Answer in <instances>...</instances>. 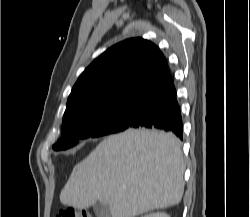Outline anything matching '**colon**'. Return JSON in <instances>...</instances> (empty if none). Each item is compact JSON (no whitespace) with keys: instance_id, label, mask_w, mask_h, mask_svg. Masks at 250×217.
<instances>
[{"instance_id":"colon-1","label":"colon","mask_w":250,"mask_h":217,"mask_svg":"<svg viewBox=\"0 0 250 217\" xmlns=\"http://www.w3.org/2000/svg\"><path fill=\"white\" fill-rule=\"evenodd\" d=\"M55 217H92L89 212L83 209L65 208L60 210Z\"/></svg>"}]
</instances>
